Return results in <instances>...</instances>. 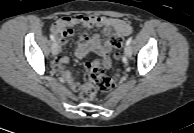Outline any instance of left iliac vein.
<instances>
[{
    "instance_id": "4c4485c4",
    "label": "left iliac vein",
    "mask_w": 194,
    "mask_h": 133,
    "mask_svg": "<svg viewBox=\"0 0 194 133\" xmlns=\"http://www.w3.org/2000/svg\"><path fill=\"white\" fill-rule=\"evenodd\" d=\"M124 52H125L126 57H131L132 49H131V47L129 45L125 46Z\"/></svg>"
}]
</instances>
